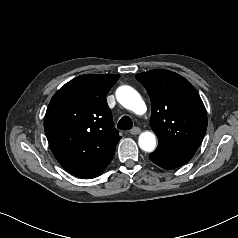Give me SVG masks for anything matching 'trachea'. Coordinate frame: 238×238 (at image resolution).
<instances>
[{
  "label": "trachea",
  "instance_id": "trachea-1",
  "mask_svg": "<svg viewBox=\"0 0 238 238\" xmlns=\"http://www.w3.org/2000/svg\"><path fill=\"white\" fill-rule=\"evenodd\" d=\"M133 126L132 120L129 116H123L118 122V129L120 130H129Z\"/></svg>",
  "mask_w": 238,
  "mask_h": 238
}]
</instances>
